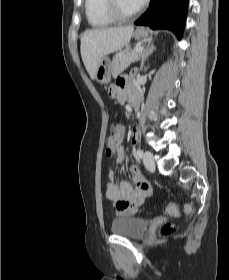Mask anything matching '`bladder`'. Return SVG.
Segmentation results:
<instances>
[{"mask_svg":"<svg viewBox=\"0 0 229 280\" xmlns=\"http://www.w3.org/2000/svg\"><path fill=\"white\" fill-rule=\"evenodd\" d=\"M148 230V221L135 216L117 218L111 223V231L115 235L131 239L142 238Z\"/></svg>","mask_w":229,"mask_h":280,"instance_id":"obj_1","label":"bladder"}]
</instances>
